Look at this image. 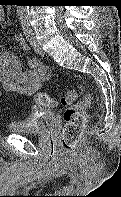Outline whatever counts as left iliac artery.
<instances>
[{
	"instance_id": "left-iliac-artery-1",
	"label": "left iliac artery",
	"mask_w": 121,
	"mask_h": 197,
	"mask_svg": "<svg viewBox=\"0 0 121 197\" xmlns=\"http://www.w3.org/2000/svg\"><path fill=\"white\" fill-rule=\"evenodd\" d=\"M22 27H23V31L27 40L30 42V44H32L33 43V31L30 27V24L24 20L22 21Z\"/></svg>"
}]
</instances>
